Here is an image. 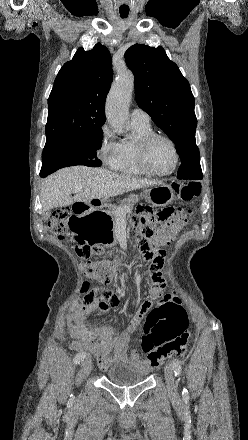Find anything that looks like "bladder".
<instances>
[{"label":"bladder","instance_id":"obj_1","mask_svg":"<svg viewBox=\"0 0 248 440\" xmlns=\"http://www.w3.org/2000/svg\"><path fill=\"white\" fill-rule=\"evenodd\" d=\"M147 372L137 370L127 364L110 367L105 374L106 379L118 386H129L143 381Z\"/></svg>","mask_w":248,"mask_h":440}]
</instances>
